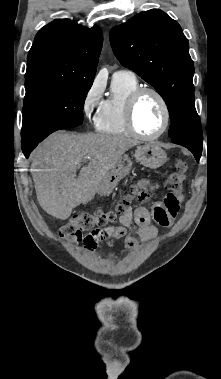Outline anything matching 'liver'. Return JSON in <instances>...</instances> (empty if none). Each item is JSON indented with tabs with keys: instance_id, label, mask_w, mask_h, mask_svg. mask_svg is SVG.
<instances>
[{
	"instance_id": "obj_1",
	"label": "liver",
	"mask_w": 221,
	"mask_h": 379,
	"mask_svg": "<svg viewBox=\"0 0 221 379\" xmlns=\"http://www.w3.org/2000/svg\"><path fill=\"white\" fill-rule=\"evenodd\" d=\"M136 140L107 134L54 133L33 152L31 172L40 206L65 220L80 204L91 201L100 183ZM89 158L88 165L76 170Z\"/></svg>"
}]
</instances>
